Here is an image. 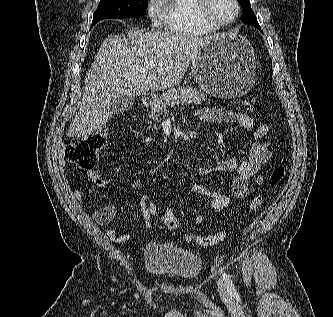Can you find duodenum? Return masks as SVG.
Here are the masks:
<instances>
[{
	"instance_id": "410a0bca",
	"label": "duodenum",
	"mask_w": 333,
	"mask_h": 317,
	"mask_svg": "<svg viewBox=\"0 0 333 317\" xmlns=\"http://www.w3.org/2000/svg\"><path fill=\"white\" fill-rule=\"evenodd\" d=\"M155 103V97L154 96H146L143 100V106L146 108L151 107Z\"/></svg>"
}]
</instances>
